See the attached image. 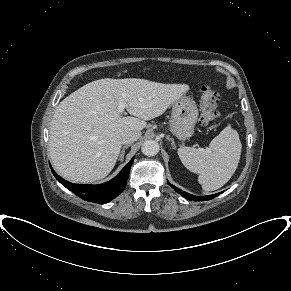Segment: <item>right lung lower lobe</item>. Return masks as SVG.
<instances>
[{
    "instance_id": "1",
    "label": "right lung lower lobe",
    "mask_w": 291,
    "mask_h": 291,
    "mask_svg": "<svg viewBox=\"0 0 291 291\" xmlns=\"http://www.w3.org/2000/svg\"><path fill=\"white\" fill-rule=\"evenodd\" d=\"M135 157L120 171V173L112 180L99 184H74L64 180L55 173L50 165L51 171L55 178L68 190L72 191L75 195L88 202L105 204L117 197L126 187V181L129 176L130 168Z\"/></svg>"
}]
</instances>
